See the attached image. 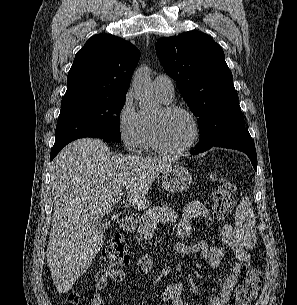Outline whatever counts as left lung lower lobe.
Wrapping results in <instances>:
<instances>
[{
  "instance_id": "obj_1",
  "label": "left lung lower lobe",
  "mask_w": 297,
  "mask_h": 305,
  "mask_svg": "<svg viewBox=\"0 0 297 305\" xmlns=\"http://www.w3.org/2000/svg\"><path fill=\"white\" fill-rule=\"evenodd\" d=\"M203 142L202 147L196 148V151L191 152V154H199L204 151L209 150L211 147H223L242 151L247 154L251 163L256 170L257 167V154L255 149V144L251 138L248 130L245 127H240L225 135L216 143H211L207 139L200 140Z\"/></svg>"
}]
</instances>
